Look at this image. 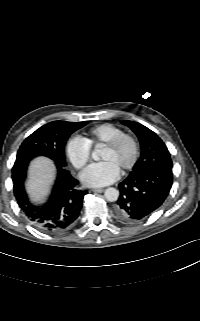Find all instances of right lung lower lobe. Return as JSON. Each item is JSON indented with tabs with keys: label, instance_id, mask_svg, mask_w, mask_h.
<instances>
[{
	"label": "right lung lower lobe",
	"instance_id": "1",
	"mask_svg": "<svg viewBox=\"0 0 200 321\" xmlns=\"http://www.w3.org/2000/svg\"><path fill=\"white\" fill-rule=\"evenodd\" d=\"M32 158L16 160L12 168L13 189L23 214L40 230L60 232L70 227L79 216L86 190L78 188V181L70 172L55 162L57 178L48 201L35 205L29 201L24 188L26 171Z\"/></svg>",
	"mask_w": 200,
	"mask_h": 321
}]
</instances>
